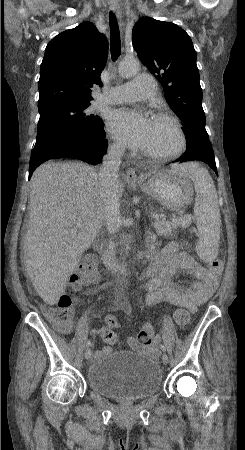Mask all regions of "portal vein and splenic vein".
Instances as JSON below:
<instances>
[{
	"label": "portal vein and splenic vein",
	"mask_w": 245,
	"mask_h": 450,
	"mask_svg": "<svg viewBox=\"0 0 245 450\" xmlns=\"http://www.w3.org/2000/svg\"><path fill=\"white\" fill-rule=\"evenodd\" d=\"M152 218L157 220L159 218V215L157 213H152ZM69 232L71 234H76L77 233V229L76 228H70Z\"/></svg>",
	"instance_id": "18ae733b"
}]
</instances>
